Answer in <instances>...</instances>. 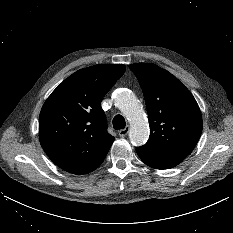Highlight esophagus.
<instances>
[{
	"label": "esophagus",
	"mask_w": 233,
	"mask_h": 233,
	"mask_svg": "<svg viewBox=\"0 0 233 233\" xmlns=\"http://www.w3.org/2000/svg\"><path fill=\"white\" fill-rule=\"evenodd\" d=\"M129 132V126H126L124 129L119 130V136L120 137H125Z\"/></svg>",
	"instance_id": "34e87169"
}]
</instances>
